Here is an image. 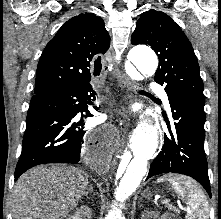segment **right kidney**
Masks as SVG:
<instances>
[{"label": "right kidney", "instance_id": "right-kidney-1", "mask_svg": "<svg viewBox=\"0 0 221 219\" xmlns=\"http://www.w3.org/2000/svg\"><path fill=\"white\" fill-rule=\"evenodd\" d=\"M92 213L89 207H81L78 209L75 214L70 216L67 219H91Z\"/></svg>", "mask_w": 221, "mask_h": 219}]
</instances>
